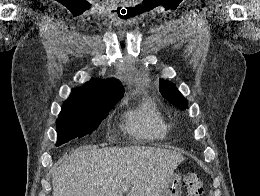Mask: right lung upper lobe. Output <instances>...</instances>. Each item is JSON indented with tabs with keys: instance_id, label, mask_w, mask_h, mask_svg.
Wrapping results in <instances>:
<instances>
[{
	"instance_id": "cb5924a9",
	"label": "right lung upper lobe",
	"mask_w": 260,
	"mask_h": 196,
	"mask_svg": "<svg viewBox=\"0 0 260 196\" xmlns=\"http://www.w3.org/2000/svg\"><path fill=\"white\" fill-rule=\"evenodd\" d=\"M124 94L121 83L116 79H91L83 87L73 89L63 107H109L114 106Z\"/></svg>"
}]
</instances>
